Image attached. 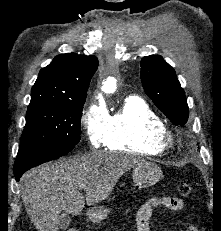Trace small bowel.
Instances as JSON below:
<instances>
[{"mask_svg": "<svg viewBox=\"0 0 221 231\" xmlns=\"http://www.w3.org/2000/svg\"><path fill=\"white\" fill-rule=\"evenodd\" d=\"M165 207L173 211H180L183 208V202L178 197L162 196L153 197L145 202L138 209L136 214V224L138 231H151L150 217L155 208ZM186 231H198L196 226H190Z\"/></svg>", "mask_w": 221, "mask_h": 231, "instance_id": "c3829d8e", "label": "small bowel"}]
</instances>
